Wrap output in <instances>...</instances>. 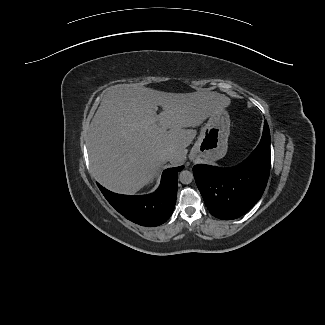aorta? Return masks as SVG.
Listing matches in <instances>:
<instances>
[{
  "mask_svg": "<svg viewBox=\"0 0 325 325\" xmlns=\"http://www.w3.org/2000/svg\"><path fill=\"white\" fill-rule=\"evenodd\" d=\"M193 178L194 177H193L192 172H190L188 170H183L179 174V180L183 184H190L192 182Z\"/></svg>",
  "mask_w": 325,
  "mask_h": 325,
  "instance_id": "aorta-1",
  "label": "aorta"
}]
</instances>
